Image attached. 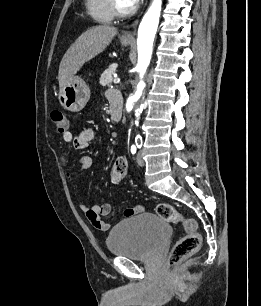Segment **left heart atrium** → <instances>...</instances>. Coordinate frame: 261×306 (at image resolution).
Masks as SVG:
<instances>
[{
    "mask_svg": "<svg viewBox=\"0 0 261 306\" xmlns=\"http://www.w3.org/2000/svg\"><path fill=\"white\" fill-rule=\"evenodd\" d=\"M127 3L131 6H133L134 4H136L139 0H126Z\"/></svg>",
    "mask_w": 261,
    "mask_h": 306,
    "instance_id": "1",
    "label": "left heart atrium"
}]
</instances>
